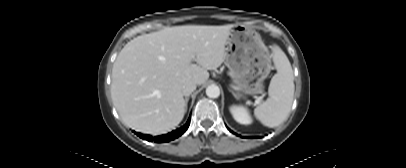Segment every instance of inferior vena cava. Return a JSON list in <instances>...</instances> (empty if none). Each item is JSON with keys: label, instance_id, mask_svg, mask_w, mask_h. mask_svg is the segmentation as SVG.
Listing matches in <instances>:
<instances>
[{"label": "inferior vena cava", "instance_id": "inferior-vena-cava-1", "mask_svg": "<svg viewBox=\"0 0 406 168\" xmlns=\"http://www.w3.org/2000/svg\"><path fill=\"white\" fill-rule=\"evenodd\" d=\"M195 89L196 83L193 81H189L182 86V93L185 97H188Z\"/></svg>", "mask_w": 406, "mask_h": 168}]
</instances>
